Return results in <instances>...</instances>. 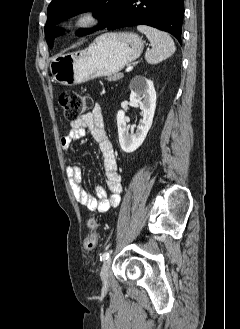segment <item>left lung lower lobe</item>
Instances as JSON below:
<instances>
[{
    "label": "left lung lower lobe",
    "mask_w": 240,
    "mask_h": 329,
    "mask_svg": "<svg viewBox=\"0 0 240 329\" xmlns=\"http://www.w3.org/2000/svg\"><path fill=\"white\" fill-rule=\"evenodd\" d=\"M183 18L184 0H125L107 27L148 25L169 32L181 43Z\"/></svg>",
    "instance_id": "0a47b994"
}]
</instances>
